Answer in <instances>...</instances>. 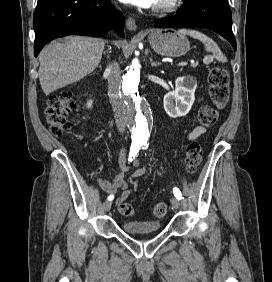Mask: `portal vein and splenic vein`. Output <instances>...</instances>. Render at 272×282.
<instances>
[{"label": "portal vein and splenic vein", "mask_w": 272, "mask_h": 282, "mask_svg": "<svg viewBox=\"0 0 272 282\" xmlns=\"http://www.w3.org/2000/svg\"><path fill=\"white\" fill-rule=\"evenodd\" d=\"M179 67H182V66H186L187 65V62H181L179 64H177Z\"/></svg>", "instance_id": "18ae733b"}]
</instances>
